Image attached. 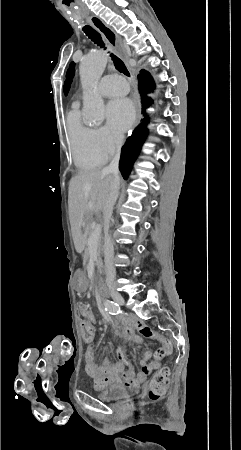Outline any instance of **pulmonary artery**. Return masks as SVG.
Returning <instances> with one entry per match:
<instances>
[{
  "mask_svg": "<svg viewBox=\"0 0 241 450\" xmlns=\"http://www.w3.org/2000/svg\"><path fill=\"white\" fill-rule=\"evenodd\" d=\"M98 89L104 102H117L118 96L129 90V85L120 74H103Z\"/></svg>",
  "mask_w": 241,
  "mask_h": 450,
  "instance_id": "pulmonary-artery-1",
  "label": "pulmonary artery"
}]
</instances>
